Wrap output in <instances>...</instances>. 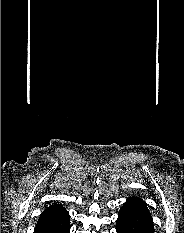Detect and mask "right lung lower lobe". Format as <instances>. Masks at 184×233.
<instances>
[{
    "label": "right lung lower lobe",
    "instance_id": "right-lung-lower-lobe-1",
    "mask_svg": "<svg viewBox=\"0 0 184 233\" xmlns=\"http://www.w3.org/2000/svg\"><path fill=\"white\" fill-rule=\"evenodd\" d=\"M34 233H70L69 214L66 209L55 204L40 215Z\"/></svg>",
    "mask_w": 184,
    "mask_h": 233
}]
</instances>
